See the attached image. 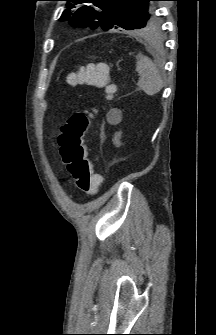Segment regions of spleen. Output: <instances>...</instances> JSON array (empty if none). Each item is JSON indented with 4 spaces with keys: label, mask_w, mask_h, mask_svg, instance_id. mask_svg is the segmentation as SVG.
<instances>
[{
    "label": "spleen",
    "mask_w": 216,
    "mask_h": 335,
    "mask_svg": "<svg viewBox=\"0 0 216 335\" xmlns=\"http://www.w3.org/2000/svg\"><path fill=\"white\" fill-rule=\"evenodd\" d=\"M136 71L140 75L137 83L140 90L149 96L160 92L163 87L162 75L151 59L141 54L137 55Z\"/></svg>",
    "instance_id": "obj_1"
}]
</instances>
